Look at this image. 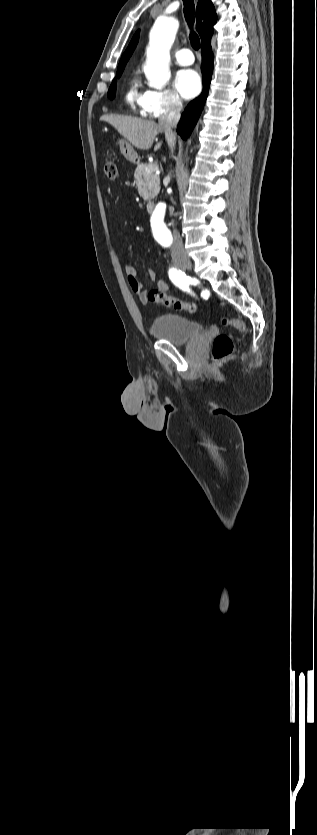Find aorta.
Returning <instances> with one entry per match:
<instances>
[{
	"label": "aorta",
	"instance_id": "aorta-1",
	"mask_svg": "<svg viewBox=\"0 0 317 835\" xmlns=\"http://www.w3.org/2000/svg\"><path fill=\"white\" fill-rule=\"evenodd\" d=\"M177 30L178 19L176 17L160 16L156 19L150 31L144 73L148 85L152 88L160 90L170 80V49L174 43ZM164 214L165 206L161 203L156 207L152 215L154 231L158 237H164L168 233L164 223Z\"/></svg>",
	"mask_w": 317,
	"mask_h": 835
}]
</instances>
